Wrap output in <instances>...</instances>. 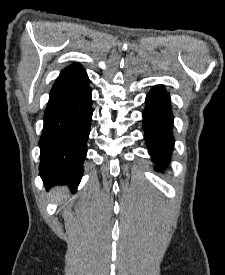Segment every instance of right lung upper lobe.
Segmentation results:
<instances>
[{
    "label": "right lung upper lobe",
    "instance_id": "1",
    "mask_svg": "<svg viewBox=\"0 0 225 275\" xmlns=\"http://www.w3.org/2000/svg\"><path fill=\"white\" fill-rule=\"evenodd\" d=\"M86 80L88 76L83 67L79 64H72L60 73L52 89L78 84Z\"/></svg>",
    "mask_w": 225,
    "mask_h": 275
}]
</instances>
